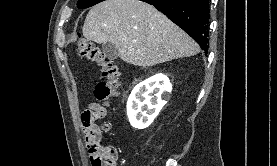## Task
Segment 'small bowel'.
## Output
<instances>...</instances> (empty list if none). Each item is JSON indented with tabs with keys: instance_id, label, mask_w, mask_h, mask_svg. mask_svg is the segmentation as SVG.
Listing matches in <instances>:
<instances>
[{
	"instance_id": "small-bowel-1",
	"label": "small bowel",
	"mask_w": 277,
	"mask_h": 166,
	"mask_svg": "<svg viewBox=\"0 0 277 166\" xmlns=\"http://www.w3.org/2000/svg\"><path fill=\"white\" fill-rule=\"evenodd\" d=\"M87 111H89L91 113L92 121L94 124H95L96 120L100 119L101 117H103L105 115V110L97 103H91L89 105L88 109H86L83 113H86ZM90 155H91V153H90Z\"/></svg>"
}]
</instances>
